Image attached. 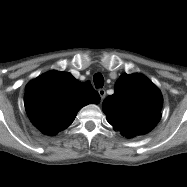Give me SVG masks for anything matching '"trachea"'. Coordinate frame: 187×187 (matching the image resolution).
Here are the masks:
<instances>
[{
  "label": "trachea",
  "instance_id": "obj_1",
  "mask_svg": "<svg viewBox=\"0 0 187 187\" xmlns=\"http://www.w3.org/2000/svg\"><path fill=\"white\" fill-rule=\"evenodd\" d=\"M94 80V84L96 88H102L104 85V78L102 76V74L100 73H96L93 77Z\"/></svg>",
  "mask_w": 187,
  "mask_h": 187
}]
</instances>
